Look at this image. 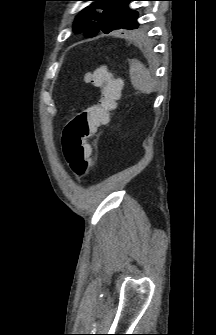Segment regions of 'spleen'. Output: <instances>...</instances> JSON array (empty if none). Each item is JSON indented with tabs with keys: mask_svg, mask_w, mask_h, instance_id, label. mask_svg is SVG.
Instances as JSON below:
<instances>
[{
	"mask_svg": "<svg viewBox=\"0 0 216 335\" xmlns=\"http://www.w3.org/2000/svg\"><path fill=\"white\" fill-rule=\"evenodd\" d=\"M129 75L135 89L145 94L155 91L156 81L140 61L134 59L130 62Z\"/></svg>",
	"mask_w": 216,
	"mask_h": 335,
	"instance_id": "3e777b00",
	"label": "spleen"
}]
</instances>
